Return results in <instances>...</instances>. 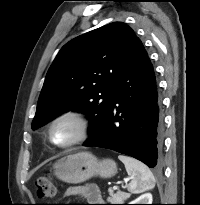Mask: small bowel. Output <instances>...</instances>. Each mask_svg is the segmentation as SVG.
Returning <instances> with one entry per match:
<instances>
[{
	"mask_svg": "<svg viewBox=\"0 0 200 205\" xmlns=\"http://www.w3.org/2000/svg\"><path fill=\"white\" fill-rule=\"evenodd\" d=\"M66 196H81L88 202H101V195L95 186H76L67 189Z\"/></svg>",
	"mask_w": 200,
	"mask_h": 205,
	"instance_id": "small-bowel-1",
	"label": "small bowel"
}]
</instances>
